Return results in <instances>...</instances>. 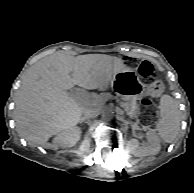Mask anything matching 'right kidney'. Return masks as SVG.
I'll list each match as a JSON object with an SVG mask.
<instances>
[{
    "mask_svg": "<svg viewBox=\"0 0 194 193\" xmlns=\"http://www.w3.org/2000/svg\"><path fill=\"white\" fill-rule=\"evenodd\" d=\"M81 129L77 126H68L53 139L55 147H73L80 139Z\"/></svg>",
    "mask_w": 194,
    "mask_h": 193,
    "instance_id": "right-kidney-1",
    "label": "right kidney"
}]
</instances>
